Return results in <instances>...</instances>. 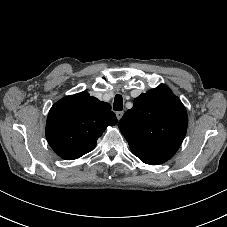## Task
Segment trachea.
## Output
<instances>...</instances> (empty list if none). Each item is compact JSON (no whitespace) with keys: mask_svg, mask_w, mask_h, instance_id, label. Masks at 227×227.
Returning <instances> with one entry per match:
<instances>
[{"mask_svg":"<svg viewBox=\"0 0 227 227\" xmlns=\"http://www.w3.org/2000/svg\"><path fill=\"white\" fill-rule=\"evenodd\" d=\"M113 109L115 111H122V109H123V98L120 94H117L115 96Z\"/></svg>","mask_w":227,"mask_h":227,"instance_id":"1","label":"trachea"}]
</instances>
